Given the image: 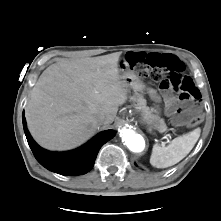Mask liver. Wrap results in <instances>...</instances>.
<instances>
[{
	"mask_svg": "<svg viewBox=\"0 0 221 221\" xmlns=\"http://www.w3.org/2000/svg\"><path fill=\"white\" fill-rule=\"evenodd\" d=\"M120 53L62 61L39 77L25 108L28 129L49 150L75 148L101 126H109L127 101L121 80ZM104 115L103 123L97 121Z\"/></svg>",
	"mask_w": 221,
	"mask_h": 221,
	"instance_id": "1",
	"label": "liver"
}]
</instances>
